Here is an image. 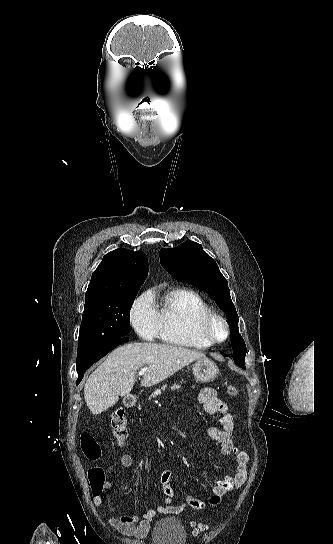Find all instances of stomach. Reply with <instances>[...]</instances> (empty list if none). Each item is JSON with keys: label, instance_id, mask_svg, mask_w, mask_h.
I'll return each instance as SVG.
<instances>
[{"label": "stomach", "instance_id": "0dacf381", "mask_svg": "<svg viewBox=\"0 0 333 544\" xmlns=\"http://www.w3.org/2000/svg\"><path fill=\"white\" fill-rule=\"evenodd\" d=\"M193 374L197 381L210 382L217 377L219 369L212 360L202 358L193 365Z\"/></svg>", "mask_w": 333, "mask_h": 544}]
</instances>
